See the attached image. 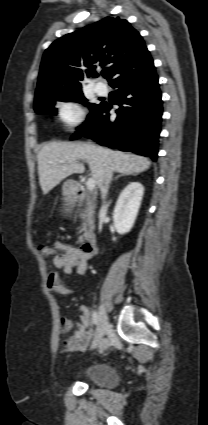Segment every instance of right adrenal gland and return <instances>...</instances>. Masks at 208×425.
<instances>
[{
	"label": "right adrenal gland",
	"instance_id": "right-adrenal-gland-1",
	"mask_svg": "<svg viewBox=\"0 0 208 425\" xmlns=\"http://www.w3.org/2000/svg\"><path fill=\"white\" fill-rule=\"evenodd\" d=\"M127 174H125V173H121V174H119L116 178H115V180H117L119 177H123V176H126Z\"/></svg>",
	"mask_w": 208,
	"mask_h": 425
}]
</instances>
